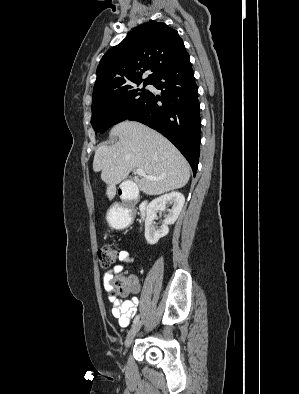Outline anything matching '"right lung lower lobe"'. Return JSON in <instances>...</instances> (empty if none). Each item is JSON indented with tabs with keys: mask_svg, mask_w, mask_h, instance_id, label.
Segmentation results:
<instances>
[{
	"mask_svg": "<svg viewBox=\"0 0 299 394\" xmlns=\"http://www.w3.org/2000/svg\"><path fill=\"white\" fill-rule=\"evenodd\" d=\"M151 84L161 90V96L149 92L126 119L141 122L163 134L188 160L195 176L200 153V115L198 88L188 53ZM158 101L162 105H158Z\"/></svg>",
	"mask_w": 299,
	"mask_h": 394,
	"instance_id": "98d812e1",
	"label": "right lung lower lobe"
}]
</instances>
